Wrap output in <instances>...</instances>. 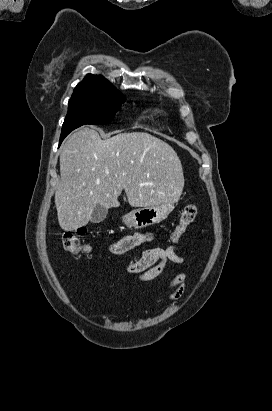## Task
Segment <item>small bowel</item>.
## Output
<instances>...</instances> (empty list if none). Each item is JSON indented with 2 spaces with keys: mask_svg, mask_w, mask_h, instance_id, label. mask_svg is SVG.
<instances>
[{
  "mask_svg": "<svg viewBox=\"0 0 272 411\" xmlns=\"http://www.w3.org/2000/svg\"><path fill=\"white\" fill-rule=\"evenodd\" d=\"M151 240L152 234L149 232L129 234L112 243L110 245V251L113 254H123ZM178 251V247L173 245L166 248L150 249L143 253L138 260L131 262L128 265V270L136 281H151L163 272L168 263H183L184 259L178 254ZM184 279V275L180 274L171 280L169 288H173L174 290L169 295L170 299L176 301L183 295L187 287ZM115 291L116 287H113L104 291L102 295H109ZM163 300L164 297H160L156 300V303L159 304Z\"/></svg>",
  "mask_w": 272,
  "mask_h": 411,
  "instance_id": "c3829d8e",
  "label": "small bowel"
}]
</instances>
